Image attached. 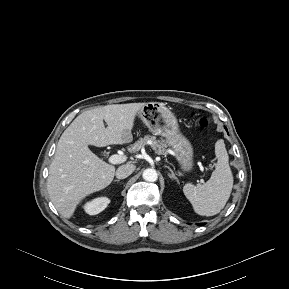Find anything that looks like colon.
<instances>
[{"label": "colon", "mask_w": 289, "mask_h": 289, "mask_svg": "<svg viewBox=\"0 0 289 289\" xmlns=\"http://www.w3.org/2000/svg\"><path fill=\"white\" fill-rule=\"evenodd\" d=\"M197 120H198V123L201 127H206L208 125V120L205 117L198 116Z\"/></svg>", "instance_id": "obj_1"}]
</instances>
